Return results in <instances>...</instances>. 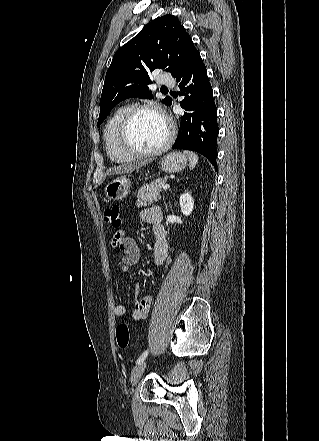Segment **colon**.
Listing matches in <instances>:
<instances>
[{
	"mask_svg": "<svg viewBox=\"0 0 319 441\" xmlns=\"http://www.w3.org/2000/svg\"><path fill=\"white\" fill-rule=\"evenodd\" d=\"M103 218L112 228L118 229L122 225L121 210L118 205L107 206L103 211ZM116 340L120 348H126L129 344V329L127 325L120 324L116 329Z\"/></svg>",
	"mask_w": 319,
	"mask_h": 441,
	"instance_id": "colon-1",
	"label": "colon"
}]
</instances>
